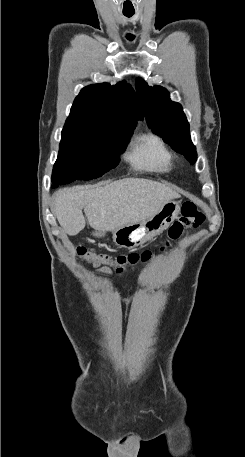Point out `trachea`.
<instances>
[{
  "label": "trachea",
  "mask_w": 245,
  "mask_h": 457,
  "mask_svg": "<svg viewBox=\"0 0 245 457\" xmlns=\"http://www.w3.org/2000/svg\"><path fill=\"white\" fill-rule=\"evenodd\" d=\"M123 15H125V17L130 18L134 15V13H124Z\"/></svg>",
  "instance_id": "obj_1"
}]
</instances>
